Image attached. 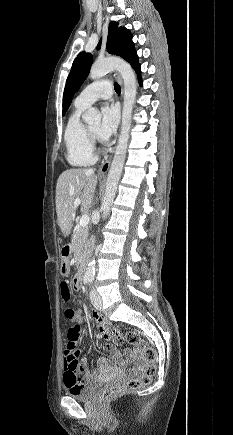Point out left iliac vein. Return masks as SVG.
Returning a JSON list of instances; mask_svg holds the SVG:
<instances>
[{"mask_svg":"<svg viewBox=\"0 0 233 435\" xmlns=\"http://www.w3.org/2000/svg\"><path fill=\"white\" fill-rule=\"evenodd\" d=\"M90 299H91L93 306L97 310H101V308H102L101 296L94 289H91V291H90Z\"/></svg>","mask_w":233,"mask_h":435,"instance_id":"1","label":"left iliac vein"}]
</instances>
